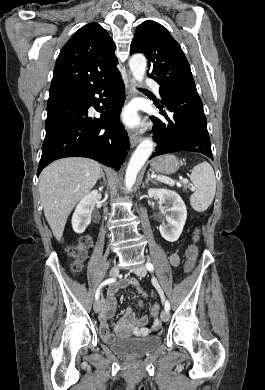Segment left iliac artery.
<instances>
[{"mask_svg":"<svg viewBox=\"0 0 265 390\" xmlns=\"http://www.w3.org/2000/svg\"><path fill=\"white\" fill-rule=\"evenodd\" d=\"M146 268H147L149 271H153V270H154V266H153V264L150 263V262H147V263H146ZM153 283H154V286L156 287V289L158 290L160 296H161L162 298H164L163 291H162V289H161L159 283L157 282V280L153 281ZM165 310H166V311H169V310H170V303H169V301H167V300L165 301Z\"/></svg>","mask_w":265,"mask_h":390,"instance_id":"left-iliac-artery-1","label":"left iliac artery"}]
</instances>
